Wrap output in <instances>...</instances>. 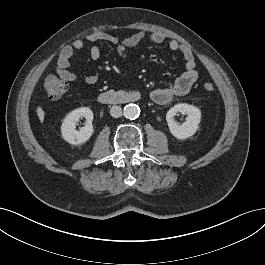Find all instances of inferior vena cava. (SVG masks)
I'll return each instance as SVG.
<instances>
[{
    "instance_id": "inferior-vena-cava-1",
    "label": "inferior vena cava",
    "mask_w": 265,
    "mask_h": 265,
    "mask_svg": "<svg viewBox=\"0 0 265 265\" xmlns=\"http://www.w3.org/2000/svg\"><path fill=\"white\" fill-rule=\"evenodd\" d=\"M110 114L114 118H118L122 115V109L120 106H112L110 109Z\"/></svg>"
}]
</instances>
